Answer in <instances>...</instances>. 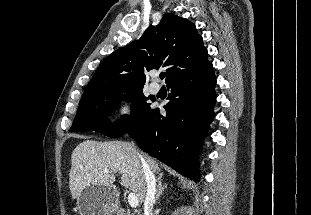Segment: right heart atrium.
Listing matches in <instances>:
<instances>
[{"label":"right heart atrium","instance_id":"1","mask_svg":"<svg viewBox=\"0 0 311 215\" xmlns=\"http://www.w3.org/2000/svg\"><path fill=\"white\" fill-rule=\"evenodd\" d=\"M132 113V104L128 101H124L117 107L115 112V118L118 122H126L131 118Z\"/></svg>","mask_w":311,"mask_h":215}]
</instances>
